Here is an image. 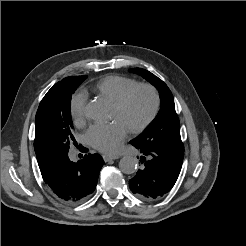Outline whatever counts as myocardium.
<instances>
[{"label":"myocardium","instance_id":"1","mask_svg":"<svg viewBox=\"0 0 246 246\" xmlns=\"http://www.w3.org/2000/svg\"><path fill=\"white\" fill-rule=\"evenodd\" d=\"M139 90H147L150 92L153 98V107L150 114L147 116L145 120H143L140 124L131 127L129 130L131 133L138 134L147 129L152 122L157 117L160 106H161V97L157 88L148 83H139L132 88L128 89L125 93H123L116 101H114V106L118 109H123L131 100L133 95Z\"/></svg>","mask_w":246,"mask_h":246}]
</instances>
